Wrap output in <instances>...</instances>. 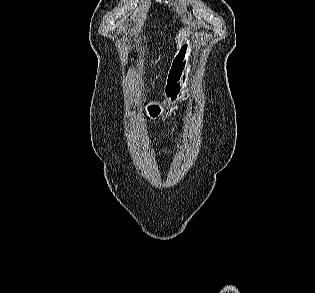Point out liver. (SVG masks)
<instances>
[{
	"instance_id": "1",
	"label": "liver",
	"mask_w": 315,
	"mask_h": 293,
	"mask_svg": "<svg viewBox=\"0 0 315 293\" xmlns=\"http://www.w3.org/2000/svg\"><path fill=\"white\" fill-rule=\"evenodd\" d=\"M190 28L187 29L189 31ZM184 39H186V29L180 30L178 35L176 36L177 47H180L183 44Z\"/></svg>"
}]
</instances>
